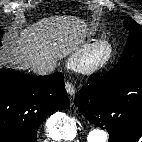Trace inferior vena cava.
<instances>
[{"instance_id":"602c4592","label":"inferior vena cava","mask_w":142,"mask_h":142,"mask_svg":"<svg viewBox=\"0 0 142 142\" xmlns=\"http://www.w3.org/2000/svg\"><path fill=\"white\" fill-rule=\"evenodd\" d=\"M56 62L48 60L33 66V72L38 75H48L55 70Z\"/></svg>"}]
</instances>
